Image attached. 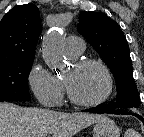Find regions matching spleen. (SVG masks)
<instances>
[{
  "instance_id": "1",
  "label": "spleen",
  "mask_w": 144,
  "mask_h": 137,
  "mask_svg": "<svg viewBox=\"0 0 144 137\" xmlns=\"http://www.w3.org/2000/svg\"><path fill=\"white\" fill-rule=\"evenodd\" d=\"M130 132L132 133V137H140V135L135 131L131 130Z\"/></svg>"
}]
</instances>
